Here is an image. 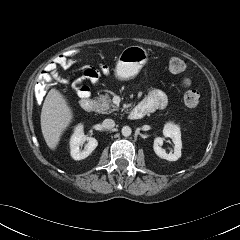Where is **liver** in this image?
Masks as SVG:
<instances>
[{"mask_svg":"<svg viewBox=\"0 0 240 240\" xmlns=\"http://www.w3.org/2000/svg\"><path fill=\"white\" fill-rule=\"evenodd\" d=\"M73 120L72 108L59 90L52 88L41 110V130L47 146L55 150L63 132Z\"/></svg>","mask_w":240,"mask_h":240,"instance_id":"1","label":"liver"}]
</instances>
